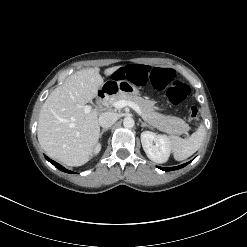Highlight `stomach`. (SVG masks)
<instances>
[{"mask_svg": "<svg viewBox=\"0 0 247 247\" xmlns=\"http://www.w3.org/2000/svg\"><path fill=\"white\" fill-rule=\"evenodd\" d=\"M125 85L119 84L120 92L128 95H139V90L134 84L129 82H123Z\"/></svg>", "mask_w": 247, "mask_h": 247, "instance_id": "0dacf381", "label": "stomach"}]
</instances>
